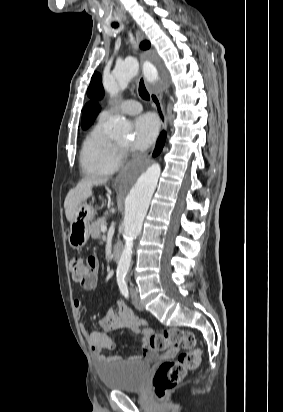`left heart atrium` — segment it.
I'll return each instance as SVG.
<instances>
[{"instance_id":"obj_1","label":"left heart atrium","mask_w":283,"mask_h":412,"mask_svg":"<svg viewBox=\"0 0 283 412\" xmlns=\"http://www.w3.org/2000/svg\"><path fill=\"white\" fill-rule=\"evenodd\" d=\"M159 133L158 118L151 113L143 114L134 121V138L131 148L145 150L156 140Z\"/></svg>"}]
</instances>
